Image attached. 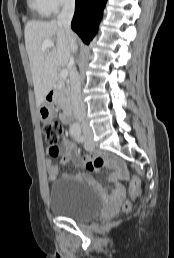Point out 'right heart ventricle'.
Wrapping results in <instances>:
<instances>
[{
	"label": "right heart ventricle",
	"mask_w": 174,
	"mask_h": 258,
	"mask_svg": "<svg viewBox=\"0 0 174 258\" xmlns=\"http://www.w3.org/2000/svg\"><path fill=\"white\" fill-rule=\"evenodd\" d=\"M27 4L30 10L40 17H46L50 14L44 0H27Z\"/></svg>",
	"instance_id": "1"
}]
</instances>
